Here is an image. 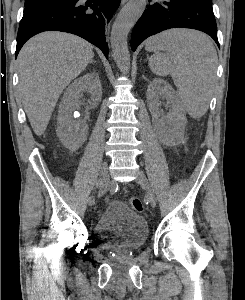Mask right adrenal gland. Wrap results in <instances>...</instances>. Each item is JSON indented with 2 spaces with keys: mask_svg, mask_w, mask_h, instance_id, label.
Segmentation results:
<instances>
[{
  "mask_svg": "<svg viewBox=\"0 0 245 300\" xmlns=\"http://www.w3.org/2000/svg\"><path fill=\"white\" fill-rule=\"evenodd\" d=\"M91 63H93V64H94V63H95V61H94V60H91Z\"/></svg>",
  "mask_w": 245,
  "mask_h": 300,
  "instance_id": "obj_1",
  "label": "right adrenal gland"
}]
</instances>
